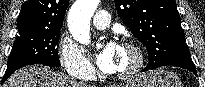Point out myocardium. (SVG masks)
<instances>
[{"instance_id": "obj_1", "label": "myocardium", "mask_w": 205, "mask_h": 87, "mask_svg": "<svg viewBox=\"0 0 205 87\" xmlns=\"http://www.w3.org/2000/svg\"><path fill=\"white\" fill-rule=\"evenodd\" d=\"M121 47L130 50L135 56V61L129 70L115 73L114 77L120 80H127L135 77L141 71L145 58L142 48L134 42H124L121 44Z\"/></svg>"}]
</instances>
